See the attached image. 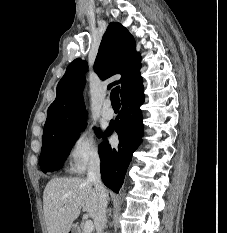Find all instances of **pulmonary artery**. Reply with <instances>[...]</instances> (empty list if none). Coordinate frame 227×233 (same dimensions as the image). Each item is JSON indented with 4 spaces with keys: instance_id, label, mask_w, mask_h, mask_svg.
Here are the masks:
<instances>
[{
    "instance_id": "1",
    "label": "pulmonary artery",
    "mask_w": 227,
    "mask_h": 233,
    "mask_svg": "<svg viewBox=\"0 0 227 233\" xmlns=\"http://www.w3.org/2000/svg\"><path fill=\"white\" fill-rule=\"evenodd\" d=\"M101 115L104 119L106 120H110L114 117V111L111 107V102L110 100H105L104 101V104H103V108H102V111H101Z\"/></svg>"
}]
</instances>
